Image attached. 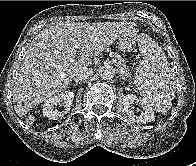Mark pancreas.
<instances>
[{
	"label": "pancreas",
	"instance_id": "obj_1",
	"mask_svg": "<svg viewBox=\"0 0 196 166\" xmlns=\"http://www.w3.org/2000/svg\"><path fill=\"white\" fill-rule=\"evenodd\" d=\"M113 62L120 69L121 73L126 77H131V72H129V68L126 66L125 61L121 59L119 56H116L113 59Z\"/></svg>",
	"mask_w": 196,
	"mask_h": 166
}]
</instances>
